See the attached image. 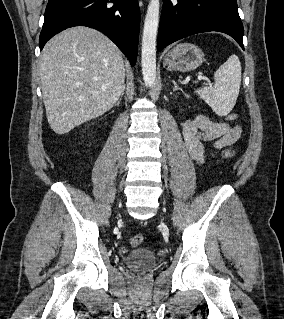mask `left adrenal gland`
<instances>
[{
  "mask_svg": "<svg viewBox=\"0 0 284 319\" xmlns=\"http://www.w3.org/2000/svg\"><path fill=\"white\" fill-rule=\"evenodd\" d=\"M172 83L174 84L173 91H176V90H181L182 91V89L178 87V85H177L175 80H172Z\"/></svg>",
  "mask_w": 284,
  "mask_h": 319,
  "instance_id": "a2214340",
  "label": "left adrenal gland"
}]
</instances>
